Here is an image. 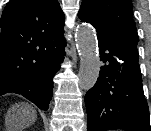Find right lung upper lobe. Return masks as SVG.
<instances>
[{"label": "right lung upper lobe", "mask_w": 151, "mask_h": 131, "mask_svg": "<svg viewBox=\"0 0 151 131\" xmlns=\"http://www.w3.org/2000/svg\"><path fill=\"white\" fill-rule=\"evenodd\" d=\"M57 0H10L0 20V92L38 72L64 39Z\"/></svg>", "instance_id": "obj_1"}]
</instances>
